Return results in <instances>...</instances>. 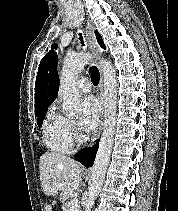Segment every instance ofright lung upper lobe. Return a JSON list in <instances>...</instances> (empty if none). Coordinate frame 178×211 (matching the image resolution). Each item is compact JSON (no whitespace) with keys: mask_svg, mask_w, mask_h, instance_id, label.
<instances>
[{"mask_svg":"<svg viewBox=\"0 0 178 211\" xmlns=\"http://www.w3.org/2000/svg\"><path fill=\"white\" fill-rule=\"evenodd\" d=\"M57 54L50 51L39 65L35 84V113L47 109L58 93Z\"/></svg>","mask_w":178,"mask_h":211,"instance_id":"obj_1","label":"right lung upper lobe"}]
</instances>
